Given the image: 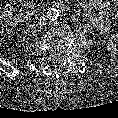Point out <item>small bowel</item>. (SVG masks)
Listing matches in <instances>:
<instances>
[{
	"mask_svg": "<svg viewBox=\"0 0 118 118\" xmlns=\"http://www.w3.org/2000/svg\"><path fill=\"white\" fill-rule=\"evenodd\" d=\"M114 6H118V0H112ZM109 3L106 0H90L81 5L89 22L101 31H108L111 27V22L105 17L109 9ZM115 18L118 19V11L115 13ZM118 44V32L113 34L110 40V47H115Z\"/></svg>",
	"mask_w": 118,
	"mask_h": 118,
	"instance_id": "1",
	"label": "small bowel"
}]
</instances>
